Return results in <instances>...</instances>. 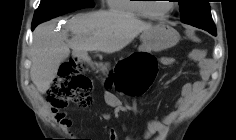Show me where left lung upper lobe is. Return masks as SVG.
<instances>
[{
    "instance_id": "5c2ea615",
    "label": "left lung upper lobe",
    "mask_w": 236,
    "mask_h": 140,
    "mask_svg": "<svg viewBox=\"0 0 236 140\" xmlns=\"http://www.w3.org/2000/svg\"><path fill=\"white\" fill-rule=\"evenodd\" d=\"M181 21L203 29L216 36V27L211 17L209 0H178Z\"/></svg>"
}]
</instances>
